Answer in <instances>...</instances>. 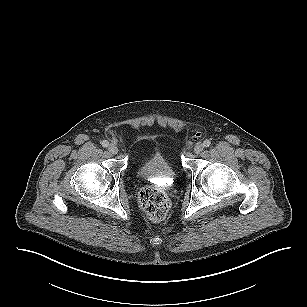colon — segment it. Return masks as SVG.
Masks as SVG:
<instances>
[{"mask_svg": "<svg viewBox=\"0 0 307 307\" xmlns=\"http://www.w3.org/2000/svg\"><path fill=\"white\" fill-rule=\"evenodd\" d=\"M139 205L142 211L152 220H163L170 209L166 193L159 187L147 186L139 192Z\"/></svg>", "mask_w": 307, "mask_h": 307, "instance_id": "colon-1", "label": "colon"}]
</instances>
